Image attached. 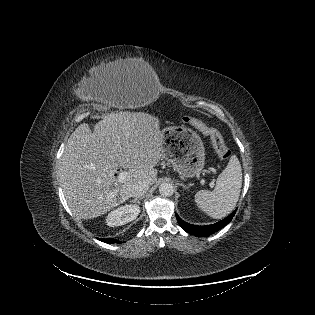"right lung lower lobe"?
I'll return each instance as SVG.
<instances>
[{
    "instance_id": "1",
    "label": "right lung lower lobe",
    "mask_w": 315,
    "mask_h": 315,
    "mask_svg": "<svg viewBox=\"0 0 315 315\" xmlns=\"http://www.w3.org/2000/svg\"><path fill=\"white\" fill-rule=\"evenodd\" d=\"M100 241H102V242H105V243H120V241H117L116 239H114V238H107V239H99Z\"/></svg>"
}]
</instances>
